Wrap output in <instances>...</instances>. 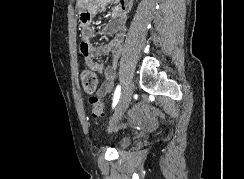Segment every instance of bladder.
<instances>
[{
	"label": "bladder",
	"instance_id": "1",
	"mask_svg": "<svg viewBox=\"0 0 244 179\" xmlns=\"http://www.w3.org/2000/svg\"><path fill=\"white\" fill-rule=\"evenodd\" d=\"M132 143H133V137H123L120 144V149L125 150L128 147H130Z\"/></svg>",
	"mask_w": 244,
	"mask_h": 179
}]
</instances>
